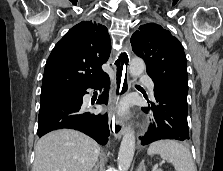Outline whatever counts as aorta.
<instances>
[{"instance_id": "762f6f07", "label": "aorta", "mask_w": 223, "mask_h": 171, "mask_svg": "<svg viewBox=\"0 0 223 171\" xmlns=\"http://www.w3.org/2000/svg\"><path fill=\"white\" fill-rule=\"evenodd\" d=\"M145 69V64L140 58H133L129 63V71L132 77H139ZM135 152V133L131 127L126 129L120 144L118 153V171H128L133 160Z\"/></svg>"}]
</instances>
